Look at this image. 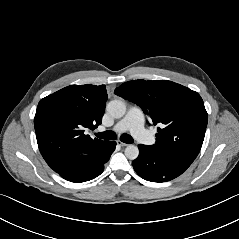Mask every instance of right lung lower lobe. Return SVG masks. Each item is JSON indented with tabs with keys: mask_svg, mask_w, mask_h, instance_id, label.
Segmentation results:
<instances>
[{
	"mask_svg": "<svg viewBox=\"0 0 239 239\" xmlns=\"http://www.w3.org/2000/svg\"><path fill=\"white\" fill-rule=\"evenodd\" d=\"M116 142L107 141L94 154H75L68 156L56 171L62 178L71 182H85L99 176L104 164L114 152Z\"/></svg>",
	"mask_w": 239,
	"mask_h": 239,
	"instance_id": "1",
	"label": "right lung lower lobe"
}]
</instances>
